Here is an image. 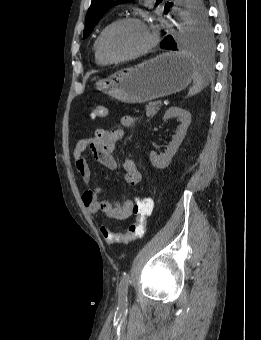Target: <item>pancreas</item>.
<instances>
[{
	"instance_id": "pancreas-1",
	"label": "pancreas",
	"mask_w": 261,
	"mask_h": 340,
	"mask_svg": "<svg viewBox=\"0 0 261 340\" xmlns=\"http://www.w3.org/2000/svg\"><path fill=\"white\" fill-rule=\"evenodd\" d=\"M159 109L160 108L157 102H150L148 105H146V116L150 118L154 117Z\"/></svg>"
}]
</instances>
